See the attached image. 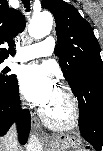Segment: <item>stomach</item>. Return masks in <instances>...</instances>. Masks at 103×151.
Masks as SVG:
<instances>
[{"instance_id": "stomach-1", "label": "stomach", "mask_w": 103, "mask_h": 151, "mask_svg": "<svg viewBox=\"0 0 103 151\" xmlns=\"http://www.w3.org/2000/svg\"><path fill=\"white\" fill-rule=\"evenodd\" d=\"M48 151H87L79 136L60 134L54 136L47 144Z\"/></svg>"}]
</instances>
